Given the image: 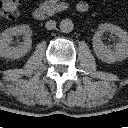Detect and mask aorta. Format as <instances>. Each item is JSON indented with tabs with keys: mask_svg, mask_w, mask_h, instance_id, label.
Segmentation results:
<instances>
[{
	"mask_svg": "<svg viewBox=\"0 0 128 128\" xmlns=\"http://www.w3.org/2000/svg\"><path fill=\"white\" fill-rule=\"evenodd\" d=\"M74 29V24L71 19H63L60 22V30L63 33H70Z\"/></svg>",
	"mask_w": 128,
	"mask_h": 128,
	"instance_id": "762f6f07",
	"label": "aorta"
}]
</instances>
